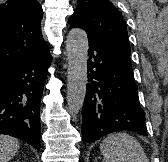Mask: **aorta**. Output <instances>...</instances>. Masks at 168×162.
<instances>
[{"label": "aorta", "instance_id": "1", "mask_svg": "<svg viewBox=\"0 0 168 162\" xmlns=\"http://www.w3.org/2000/svg\"><path fill=\"white\" fill-rule=\"evenodd\" d=\"M68 60L67 104L76 115L83 106L87 85L88 38L83 29L73 28L66 39Z\"/></svg>", "mask_w": 168, "mask_h": 162}]
</instances>
